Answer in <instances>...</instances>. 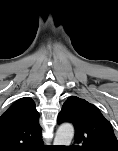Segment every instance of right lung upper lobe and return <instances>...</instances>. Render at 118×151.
<instances>
[{"instance_id": "right-lung-upper-lobe-1", "label": "right lung upper lobe", "mask_w": 118, "mask_h": 151, "mask_svg": "<svg viewBox=\"0 0 118 151\" xmlns=\"http://www.w3.org/2000/svg\"><path fill=\"white\" fill-rule=\"evenodd\" d=\"M41 129L34 101L20 98L0 116V151L37 150Z\"/></svg>"}]
</instances>
